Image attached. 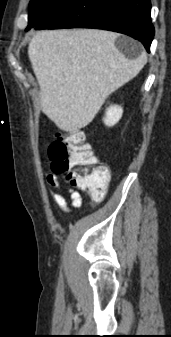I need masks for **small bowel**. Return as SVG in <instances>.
<instances>
[{"label":"small bowel","mask_w":171,"mask_h":337,"mask_svg":"<svg viewBox=\"0 0 171 337\" xmlns=\"http://www.w3.org/2000/svg\"><path fill=\"white\" fill-rule=\"evenodd\" d=\"M46 182L53 202L65 213L69 214L67 201L63 193H68L71 199V206L79 208L82 205V196L80 192L74 188H65L62 185L61 179L54 173L45 172Z\"/></svg>","instance_id":"small-bowel-1"}]
</instances>
